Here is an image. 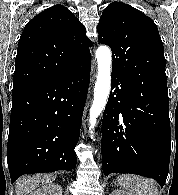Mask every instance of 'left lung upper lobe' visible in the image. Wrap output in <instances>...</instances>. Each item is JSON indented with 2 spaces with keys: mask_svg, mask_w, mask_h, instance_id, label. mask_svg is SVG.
Segmentation results:
<instances>
[{
  "mask_svg": "<svg viewBox=\"0 0 178 195\" xmlns=\"http://www.w3.org/2000/svg\"><path fill=\"white\" fill-rule=\"evenodd\" d=\"M98 41L112 49V75L134 88L168 98L163 43L156 24L122 2L102 12Z\"/></svg>",
  "mask_w": 178,
  "mask_h": 195,
  "instance_id": "left-lung-upper-lobe-1",
  "label": "left lung upper lobe"
}]
</instances>
